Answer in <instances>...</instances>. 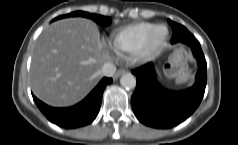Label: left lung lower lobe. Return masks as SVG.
<instances>
[{
    "label": "left lung lower lobe",
    "instance_id": "0a47b994",
    "mask_svg": "<svg viewBox=\"0 0 238 145\" xmlns=\"http://www.w3.org/2000/svg\"><path fill=\"white\" fill-rule=\"evenodd\" d=\"M168 23L173 31L171 43L190 46L199 69L195 84L180 92L167 90L158 83L153 63L132 70L137 76V86L131 97L133 111L140 122L158 129L172 128L192 115L204 96L207 83V64L200 43L184 26L169 19Z\"/></svg>",
    "mask_w": 238,
    "mask_h": 145
}]
</instances>
